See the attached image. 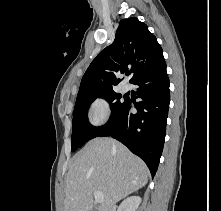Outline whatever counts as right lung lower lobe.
<instances>
[{
	"mask_svg": "<svg viewBox=\"0 0 221 211\" xmlns=\"http://www.w3.org/2000/svg\"><path fill=\"white\" fill-rule=\"evenodd\" d=\"M137 97L142 101L134 104L137 113H131L132 103L125 104L112 121L104 126L98 136H112L147 164L155 175L166 135V122L170 103L169 79L166 64L136 78Z\"/></svg>",
	"mask_w": 221,
	"mask_h": 211,
	"instance_id": "obj_1",
	"label": "right lung lower lobe"
}]
</instances>
